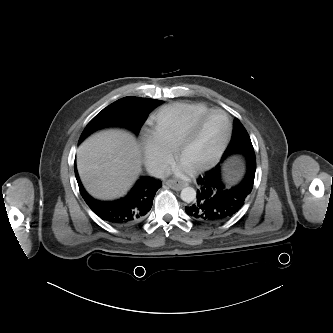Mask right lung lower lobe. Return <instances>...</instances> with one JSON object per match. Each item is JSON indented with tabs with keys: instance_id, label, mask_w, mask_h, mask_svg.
<instances>
[{
	"instance_id": "obj_1",
	"label": "right lung lower lobe",
	"mask_w": 333,
	"mask_h": 333,
	"mask_svg": "<svg viewBox=\"0 0 333 333\" xmlns=\"http://www.w3.org/2000/svg\"><path fill=\"white\" fill-rule=\"evenodd\" d=\"M75 175L80 193L85 202L103 220L117 226H129L141 221L150 211L161 181L151 177H141L131 191L115 201H99L92 198L83 188L76 166Z\"/></svg>"
}]
</instances>
